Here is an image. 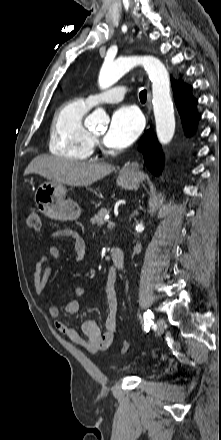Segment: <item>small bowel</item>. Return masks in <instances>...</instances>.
Listing matches in <instances>:
<instances>
[{
  "label": "small bowel",
  "instance_id": "obj_1",
  "mask_svg": "<svg viewBox=\"0 0 221 440\" xmlns=\"http://www.w3.org/2000/svg\"><path fill=\"white\" fill-rule=\"evenodd\" d=\"M52 239L71 238L74 240L75 260L83 261L87 253V243L81 235L70 228L59 229L52 233ZM60 258V250L58 247L51 245L46 254H44L37 263L34 272V290L36 293H42L44 287L51 277L54 265ZM102 289L105 294L107 313L105 318V331L102 333L95 321L88 319L82 324L83 336L68 323L61 320L59 309L51 306L48 309L49 316L54 319V323L58 331L67 336L73 343L83 347L90 353H96L106 350L113 342L117 331V311L118 297L116 291V274L109 270L103 281ZM85 288L78 286L74 289L75 297L69 300L64 308L67 315H74L79 310V298L85 294Z\"/></svg>",
  "mask_w": 221,
  "mask_h": 440
}]
</instances>
